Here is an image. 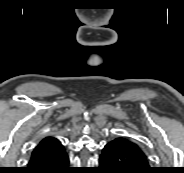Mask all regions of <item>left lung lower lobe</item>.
<instances>
[{"label": "left lung lower lobe", "instance_id": "obj_1", "mask_svg": "<svg viewBox=\"0 0 184 173\" xmlns=\"http://www.w3.org/2000/svg\"><path fill=\"white\" fill-rule=\"evenodd\" d=\"M101 173H153L154 170L132 147L131 141L119 137L108 142L99 159Z\"/></svg>", "mask_w": 184, "mask_h": 173}]
</instances>
